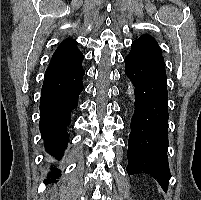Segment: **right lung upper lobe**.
I'll return each mask as SVG.
<instances>
[{
	"label": "right lung upper lobe",
	"mask_w": 201,
	"mask_h": 200,
	"mask_svg": "<svg viewBox=\"0 0 201 200\" xmlns=\"http://www.w3.org/2000/svg\"><path fill=\"white\" fill-rule=\"evenodd\" d=\"M83 54L77 48V42L73 39L64 40L54 52L45 79L68 74L82 65Z\"/></svg>",
	"instance_id": "1"
}]
</instances>
